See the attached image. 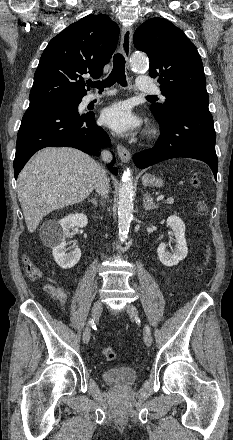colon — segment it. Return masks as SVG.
<instances>
[{
    "mask_svg": "<svg viewBox=\"0 0 233 440\" xmlns=\"http://www.w3.org/2000/svg\"><path fill=\"white\" fill-rule=\"evenodd\" d=\"M191 185L196 188L201 186V178H200L199 174L194 173L191 176ZM208 211H209V208H208L207 203L203 199H200L197 203V212H198L199 216H201V217L206 216L208 214ZM210 257H211V250L208 247L206 249L204 265H206L209 262ZM23 266H24V270L29 278H31L33 280H37L42 277V271L40 270V268L38 266H36L28 257L23 258ZM204 271H205V268L202 267L201 269H199L198 274L203 275ZM102 355L107 361H114L117 357V354L112 347L102 348Z\"/></svg>",
    "mask_w": 233,
    "mask_h": 440,
    "instance_id": "colon-1",
    "label": "colon"
}]
</instances>
